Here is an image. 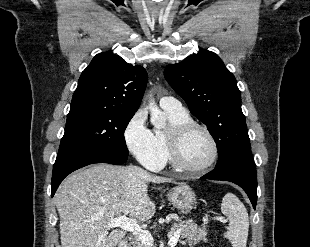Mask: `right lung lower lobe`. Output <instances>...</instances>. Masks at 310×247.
Instances as JSON below:
<instances>
[{
  "label": "right lung lower lobe",
  "mask_w": 310,
  "mask_h": 247,
  "mask_svg": "<svg viewBox=\"0 0 310 247\" xmlns=\"http://www.w3.org/2000/svg\"><path fill=\"white\" fill-rule=\"evenodd\" d=\"M127 156L91 148H68L59 151L53 166L51 196H54L62 180L71 172L93 163L123 164Z\"/></svg>",
  "instance_id": "obj_1"
}]
</instances>
